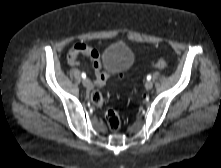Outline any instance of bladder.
<instances>
[{"label":"bladder","instance_id":"1","mask_svg":"<svg viewBox=\"0 0 221 168\" xmlns=\"http://www.w3.org/2000/svg\"><path fill=\"white\" fill-rule=\"evenodd\" d=\"M134 61L132 50L123 42L112 43L103 52L105 66L114 73L128 70Z\"/></svg>","mask_w":221,"mask_h":168}]
</instances>
